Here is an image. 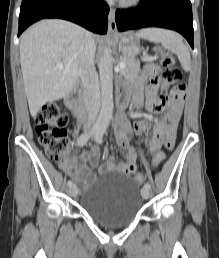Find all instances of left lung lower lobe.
<instances>
[{
    "label": "left lung lower lobe",
    "mask_w": 219,
    "mask_h": 258,
    "mask_svg": "<svg viewBox=\"0 0 219 258\" xmlns=\"http://www.w3.org/2000/svg\"><path fill=\"white\" fill-rule=\"evenodd\" d=\"M118 31L161 27L181 33L194 48L193 16L190 0H142L132 9L116 11Z\"/></svg>",
    "instance_id": "left-lung-lower-lobe-1"
}]
</instances>
